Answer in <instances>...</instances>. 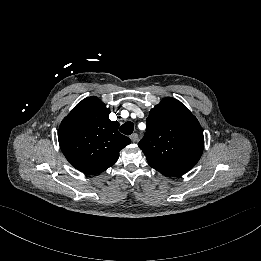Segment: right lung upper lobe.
<instances>
[{"label":"right lung upper lobe","instance_id":"cb5924a9","mask_svg":"<svg viewBox=\"0 0 261 261\" xmlns=\"http://www.w3.org/2000/svg\"><path fill=\"white\" fill-rule=\"evenodd\" d=\"M109 108L98 97H87L63 119L58 140L67 160L77 170L98 174L112 166L131 140L109 119Z\"/></svg>","mask_w":261,"mask_h":261}]
</instances>
